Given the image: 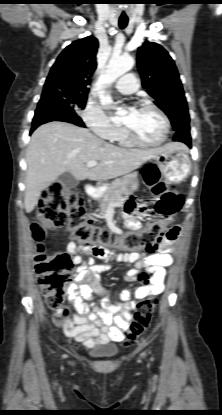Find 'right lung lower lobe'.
Instances as JSON below:
<instances>
[{
  "mask_svg": "<svg viewBox=\"0 0 222 415\" xmlns=\"http://www.w3.org/2000/svg\"><path fill=\"white\" fill-rule=\"evenodd\" d=\"M50 121H64L85 127L83 121L77 116L73 108L55 93L45 96V99L39 102L30 133L39 125Z\"/></svg>",
  "mask_w": 222,
  "mask_h": 415,
  "instance_id": "right-lung-lower-lobe-1",
  "label": "right lung lower lobe"
}]
</instances>
